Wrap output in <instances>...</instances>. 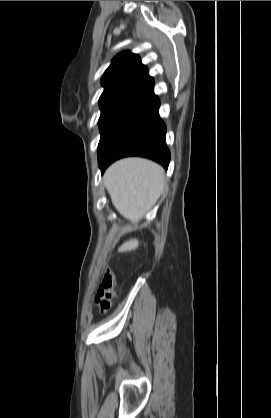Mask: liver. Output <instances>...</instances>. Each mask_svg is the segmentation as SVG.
I'll list each match as a JSON object with an SVG mask.
<instances>
[{
    "instance_id": "1",
    "label": "liver",
    "mask_w": 271,
    "mask_h": 418,
    "mask_svg": "<svg viewBox=\"0 0 271 418\" xmlns=\"http://www.w3.org/2000/svg\"><path fill=\"white\" fill-rule=\"evenodd\" d=\"M164 169L149 160L126 158L112 164L103 176L116 210L132 223L138 222L155 205L164 184ZM137 239L125 242L121 251L135 249Z\"/></svg>"
}]
</instances>
